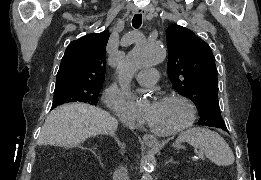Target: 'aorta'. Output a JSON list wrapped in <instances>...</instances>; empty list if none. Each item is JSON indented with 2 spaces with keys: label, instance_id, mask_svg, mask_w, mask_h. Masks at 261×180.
Here are the masks:
<instances>
[{
  "label": "aorta",
  "instance_id": "762f6f07",
  "mask_svg": "<svg viewBox=\"0 0 261 180\" xmlns=\"http://www.w3.org/2000/svg\"><path fill=\"white\" fill-rule=\"evenodd\" d=\"M166 58V51L156 43L147 41L137 42L135 47L119 63L117 70L120 77V85L130 109H138L142 102L131 92L130 81L134 74L141 68L161 63ZM141 180H153L150 168H144Z\"/></svg>",
  "mask_w": 261,
  "mask_h": 180
}]
</instances>
